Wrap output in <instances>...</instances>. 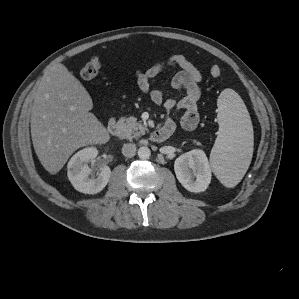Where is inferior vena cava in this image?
Here are the masks:
<instances>
[{
  "mask_svg": "<svg viewBox=\"0 0 299 299\" xmlns=\"http://www.w3.org/2000/svg\"><path fill=\"white\" fill-rule=\"evenodd\" d=\"M136 153V145L132 143L124 144L122 147V154L125 157L131 158Z\"/></svg>",
  "mask_w": 299,
  "mask_h": 299,
  "instance_id": "602c4592",
  "label": "inferior vena cava"
}]
</instances>
